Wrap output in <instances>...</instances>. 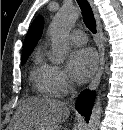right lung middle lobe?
<instances>
[{"label":"right lung middle lobe","mask_w":123,"mask_h":130,"mask_svg":"<svg viewBox=\"0 0 123 130\" xmlns=\"http://www.w3.org/2000/svg\"><path fill=\"white\" fill-rule=\"evenodd\" d=\"M28 56H29V55H26V56H22V57H21V64H22V65L25 64V62H26Z\"/></svg>","instance_id":"1"}]
</instances>
